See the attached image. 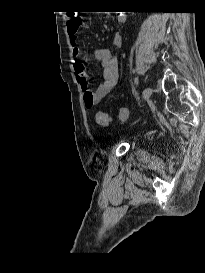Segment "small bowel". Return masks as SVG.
<instances>
[{
  "label": "small bowel",
  "mask_w": 205,
  "mask_h": 273,
  "mask_svg": "<svg viewBox=\"0 0 205 273\" xmlns=\"http://www.w3.org/2000/svg\"><path fill=\"white\" fill-rule=\"evenodd\" d=\"M77 22H79L78 18H70L67 23L72 55L77 60L74 63V72L84 93V105L86 108L92 109L117 87L119 80L118 63L108 48H96L94 50L93 55L102 68L103 81L98 85L95 91H91L88 87V77L85 72V67L83 63L79 61L84 57V54L77 43V34L80 30V28L77 27ZM82 27L87 28L88 24L82 22ZM122 41V36L117 34L113 39V45L119 46L122 44Z\"/></svg>",
  "instance_id": "obj_1"
}]
</instances>
